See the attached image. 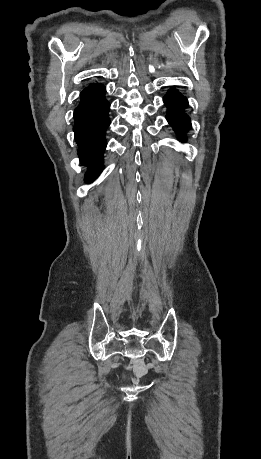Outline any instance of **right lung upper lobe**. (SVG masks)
I'll list each match as a JSON object with an SVG mask.
<instances>
[{
  "label": "right lung upper lobe",
  "instance_id": "right-lung-upper-lobe-1",
  "mask_svg": "<svg viewBox=\"0 0 261 459\" xmlns=\"http://www.w3.org/2000/svg\"><path fill=\"white\" fill-rule=\"evenodd\" d=\"M94 85H96V84H92V85H90L88 88H90V87H92V86H94ZM88 88H86V89H88ZM86 89H85V90H86ZM85 90H84V91H85Z\"/></svg>",
  "mask_w": 261,
  "mask_h": 459
}]
</instances>
